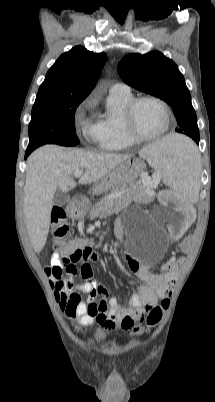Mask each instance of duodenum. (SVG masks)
I'll list each match as a JSON object with an SVG mask.
<instances>
[{
    "label": "duodenum",
    "mask_w": 215,
    "mask_h": 402,
    "mask_svg": "<svg viewBox=\"0 0 215 402\" xmlns=\"http://www.w3.org/2000/svg\"><path fill=\"white\" fill-rule=\"evenodd\" d=\"M68 213L72 218H78L82 215L83 209L76 202H73L68 207Z\"/></svg>",
    "instance_id": "obj_1"
}]
</instances>
